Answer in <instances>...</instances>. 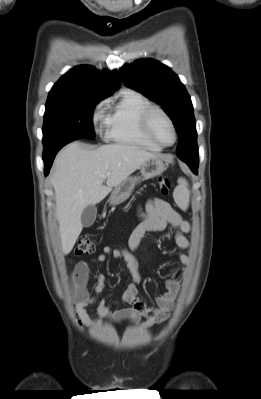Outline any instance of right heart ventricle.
Returning <instances> with one entry per match:
<instances>
[{
  "mask_svg": "<svg viewBox=\"0 0 261 399\" xmlns=\"http://www.w3.org/2000/svg\"><path fill=\"white\" fill-rule=\"evenodd\" d=\"M151 105L143 94L123 90L106 115V137L117 143L159 151L161 148L152 143L141 129V114Z\"/></svg>",
  "mask_w": 261,
  "mask_h": 399,
  "instance_id": "right-heart-ventricle-1",
  "label": "right heart ventricle"
}]
</instances>
